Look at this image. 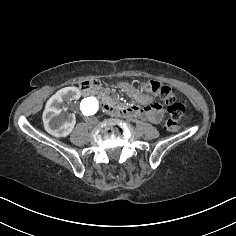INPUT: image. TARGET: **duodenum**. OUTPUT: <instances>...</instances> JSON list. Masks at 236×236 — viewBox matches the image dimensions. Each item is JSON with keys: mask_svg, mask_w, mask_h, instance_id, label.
I'll return each instance as SVG.
<instances>
[{"mask_svg": "<svg viewBox=\"0 0 236 236\" xmlns=\"http://www.w3.org/2000/svg\"><path fill=\"white\" fill-rule=\"evenodd\" d=\"M82 94L84 96H93L94 90L91 88L83 89ZM103 110L110 115L120 117H135L138 116V108L133 105H115L108 102L102 104Z\"/></svg>", "mask_w": 236, "mask_h": 236, "instance_id": "410a0bca", "label": "duodenum"}]
</instances>
